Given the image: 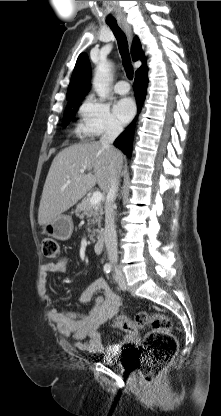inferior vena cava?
Segmentation results:
<instances>
[{
	"label": "inferior vena cava",
	"instance_id": "602c4592",
	"mask_svg": "<svg viewBox=\"0 0 221 416\" xmlns=\"http://www.w3.org/2000/svg\"><path fill=\"white\" fill-rule=\"evenodd\" d=\"M123 128L116 122H110L104 134L100 138V143L111 155L114 164L116 158V149L113 147V142L122 132ZM119 186V176L116 175L112 178L110 188L107 193L105 203V230H104V242L108 254V259L113 265L116 272L118 262V249H117V234L114 222V202Z\"/></svg>",
	"mask_w": 221,
	"mask_h": 416
}]
</instances>
